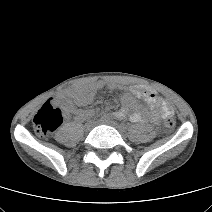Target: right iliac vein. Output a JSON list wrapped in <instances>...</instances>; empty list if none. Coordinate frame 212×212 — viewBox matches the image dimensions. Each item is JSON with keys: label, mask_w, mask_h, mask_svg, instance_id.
<instances>
[{"label": "right iliac vein", "mask_w": 212, "mask_h": 212, "mask_svg": "<svg viewBox=\"0 0 212 212\" xmlns=\"http://www.w3.org/2000/svg\"><path fill=\"white\" fill-rule=\"evenodd\" d=\"M95 123L93 121H87L84 129L85 131H90L94 127Z\"/></svg>", "instance_id": "obj_1"}]
</instances>
